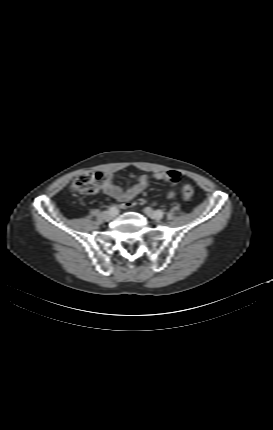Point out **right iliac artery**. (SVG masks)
<instances>
[{
	"label": "right iliac artery",
	"instance_id": "right-iliac-artery-1",
	"mask_svg": "<svg viewBox=\"0 0 273 430\" xmlns=\"http://www.w3.org/2000/svg\"><path fill=\"white\" fill-rule=\"evenodd\" d=\"M110 210H117L116 206H111Z\"/></svg>",
	"mask_w": 273,
	"mask_h": 430
}]
</instances>
